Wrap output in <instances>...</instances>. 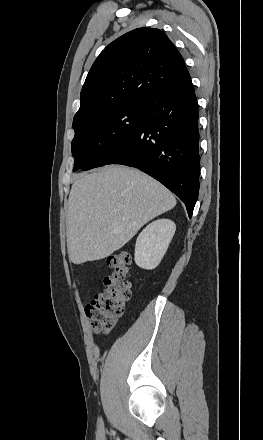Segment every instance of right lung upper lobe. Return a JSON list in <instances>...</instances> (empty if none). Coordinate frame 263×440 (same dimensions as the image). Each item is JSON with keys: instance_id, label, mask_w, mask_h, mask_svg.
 Listing matches in <instances>:
<instances>
[{"instance_id": "right-lung-upper-lobe-1", "label": "right lung upper lobe", "mask_w": 263, "mask_h": 440, "mask_svg": "<svg viewBox=\"0 0 263 440\" xmlns=\"http://www.w3.org/2000/svg\"><path fill=\"white\" fill-rule=\"evenodd\" d=\"M188 76L182 56L162 31H130L110 43L92 65L81 90L73 128L104 110L146 102Z\"/></svg>"}]
</instances>
